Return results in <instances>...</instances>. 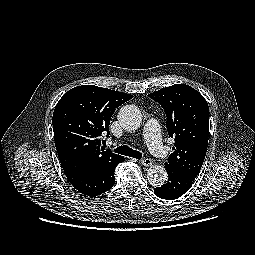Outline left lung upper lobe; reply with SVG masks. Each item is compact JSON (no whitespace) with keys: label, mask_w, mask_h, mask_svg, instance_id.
<instances>
[{"label":"left lung upper lobe","mask_w":255,"mask_h":255,"mask_svg":"<svg viewBox=\"0 0 255 255\" xmlns=\"http://www.w3.org/2000/svg\"><path fill=\"white\" fill-rule=\"evenodd\" d=\"M148 96L163 107L168 134L175 139L174 152L166 164L196 178L208 145L207 101L198 91L185 84L165 87Z\"/></svg>","instance_id":"5c2ea615"}]
</instances>
